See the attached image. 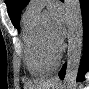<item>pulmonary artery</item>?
Wrapping results in <instances>:
<instances>
[{"label": "pulmonary artery", "instance_id": "obj_1", "mask_svg": "<svg viewBox=\"0 0 89 89\" xmlns=\"http://www.w3.org/2000/svg\"><path fill=\"white\" fill-rule=\"evenodd\" d=\"M51 2L52 1L50 0H33L28 5L26 11L33 14H38L45 5L50 4Z\"/></svg>", "mask_w": 89, "mask_h": 89}]
</instances>
